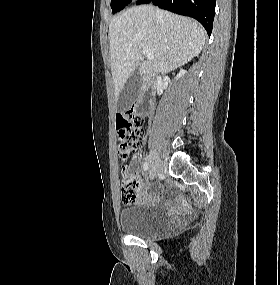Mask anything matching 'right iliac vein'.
<instances>
[{
  "instance_id": "1",
  "label": "right iliac vein",
  "mask_w": 280,
  "mask_h": 285,
  "mask_svg": "<svg viewBox=\"0 0 280 285\" xmlns=\"http://www.w3.org/2000/svg\"><path fill=\"white\" fill-rule=\"evenodd\" d=\"M162 169L163 166L161 160L158 154L155 151H153L150 158V171H149L150 178L154 179L156 175L162 171Z\"/></svg>"
}]
</instances>
